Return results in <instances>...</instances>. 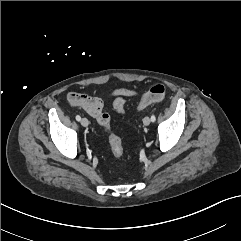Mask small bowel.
I'll use <instances>...</instances> for the list:
<instances>
[{
	"instance_id": "small-bowel-1",
	"label": "small bowel",
	"mask_w": 241,
	"mask_h": 241,
	"mask_svg": "<svg viewBox=\"0 0 241 241\" xmlns=\"http://www.w3.org/2000/svg\"><path fill=\"white\" fill-rule=\"evenodd\" d=\"M118 96L133 97L137 93L131 89H122L116 92ZM68 103L73 107H78L86 111L90 116L97 118L103 112V101L95 96H90L77 92H70L67 96Z\"/></svg>"
}]
</instances>
